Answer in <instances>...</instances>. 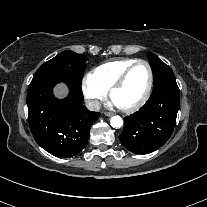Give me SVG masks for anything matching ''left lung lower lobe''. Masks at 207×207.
<instances>
[{
  "instance_id": "0a47b994",
  "label": "left lung lower lobe",
  "mask_w": 207,
  "mask_h": 207,
  "mask_svg": "<svg viewBox=\"0 0 207 207\" xmlns=\"http://www.w3.org/2000/svg\"><path fill=\"white\" fill-rule=\"evenodd\" d=\"M180 105L177 84L153 91L140 111L127 116L121 143L131 152L148 154L160 148L170 138Z\"/></svg>"
}]
</instances>
